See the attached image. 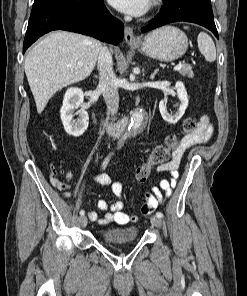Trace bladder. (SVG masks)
<instances>
[{
    "label": "bladder",
    "mask_w": 247,
    "mask_h": 296,
    "mask_svg": "<svg viewBox=\"0 0 247 296\" xmlns=\"http://www.w3.org/2000/svg\"><path fill=\"white\" fill-rule=\"evenodd\" d=\"M138 237V227L124 226L118 228H110L102 232V239L106 243H122L131 242Z\"/></svg>",
    "instance_id": "obj_1"
}]
</instances>
